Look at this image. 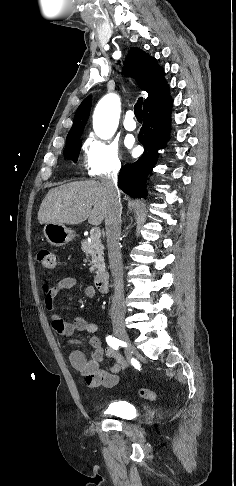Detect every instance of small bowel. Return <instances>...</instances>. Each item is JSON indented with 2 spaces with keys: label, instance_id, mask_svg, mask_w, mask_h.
Here are the masks:
<instances>
[{
  "label": "small bowel",
  "instance_id": "obj_1",
  "mask_svg": "<svg viewBox=\"0 0 236 486\" xmlns=\"http://www.w3.org/2000/svg\"><path fill=\"white\" fill-rule=\"evenodd\" d=\"M79 282L74 277H64L55 285L44 284V303L47 310L52 312L51 320L54 330L60 336L67 339L70 345H79L82 342L74 338L76 333H86L91 335L89 345L91 351L87 357L81 350H73L69 354L70 364L84 377L89 388H112L118 384L120 373L126 366L125 360L120 353L110 347L104 348L101 340L95 335L98 330L96 323L89 322L83 317H76L72 322H66L62 316L56 312L55 298L64 290L77 288ZM84 293L88 297L95 295V290L87 286ZM105 358L111 359L112 365L109 370L102 368Z\"/></svg>",
  "mask_w": 236,
  "mask_h": 486
}]
</instances>
